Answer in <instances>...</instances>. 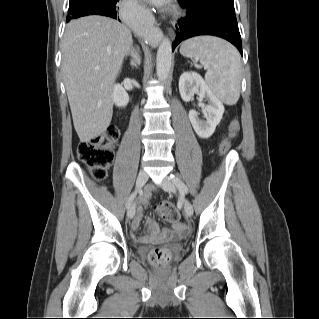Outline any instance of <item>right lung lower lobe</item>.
<instances>
[{
  "mask_svg": "<svg viewBox=\"0 0 319 319\" xmlns=\"http://www.w3.org/2000/svg\"><path fill=\"white\" fill-rule=\"evenodd\" d=\"M119 0H97L94 1L89 6L85 7L81 11L74 14L70 19H66L67 22L74 18H79L82 16H88V15H102L111 17L114 19H119L117 16L118 13V7L117 3Z\"/></svg>",
  "mask_w": 319,
  "mask_h": 319,
  "instance_id": "obj_1",
  "label": "right lung lower lobe"
}]
</instances>
